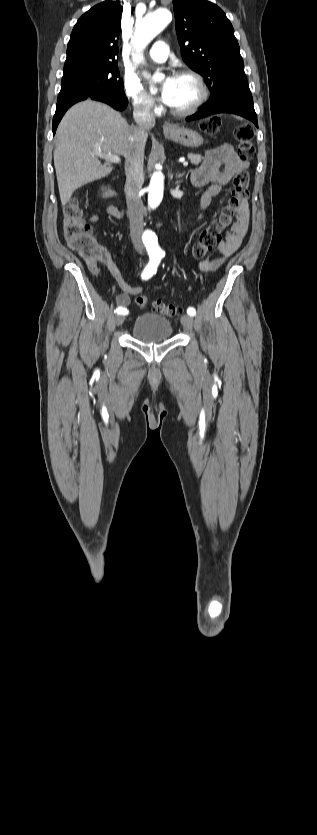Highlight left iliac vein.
I'll use <instances>...</instances> for the list:
<instances>
[{
    "label": "left iliac vein",
    "instance_id": "4c4485c4",
    "mask_svg": "<svg viewBox=\"0 0 317 835\" xmlns=\"http://www.w3.org/2000/svg\"><path fill=\"white\" fill-rule=\"evenodd\" d=\"M181 323H182V325L185 329H187V330H192L193 329L194 321H193L191 316L183 315L181 317Z\"/></svg>",
    "mask_w": 317,
    "mask_h": 835
}]
</instances>
